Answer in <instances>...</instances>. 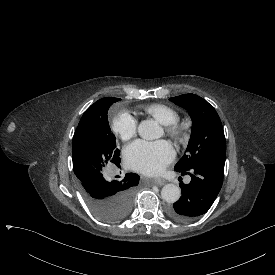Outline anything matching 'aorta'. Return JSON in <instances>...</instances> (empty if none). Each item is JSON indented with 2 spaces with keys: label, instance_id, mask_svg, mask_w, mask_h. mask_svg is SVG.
I'll return each instance as SVG.
<instances>
[{
  "label": "aorta",
  "instance_id": "obj_1",
  "mask_svg": "<svg viewBox=\"0 0 275 275\" xmlns=\"http://www.w3.org/2000/svg\"><path fill=\"white\" fill-rule=\"evenodd\" d=\"M138 133L145 140H154L163 136V128L154 120H143L138 126ZM181 189L175 184H166L161 190V197L168 203L179 200Z\"/></svg>",
  "mask_w": 275,
  "mask_h": 275
}]
</instances>
